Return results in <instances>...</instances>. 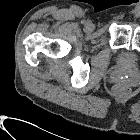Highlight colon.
I'll return each instance as SVG.
<instances>
[{"label": "colon", "instance_id": "colon-1", "mask_svg": "<svg viewBox=\"0 0 140 140\" xmlns=\"http://www.w3.org/2000/svg\"><path fill=\"white\" fill-rule=\"evenodd\" d=\"M130 93V87L125 83H119L113 88V94L118 97H126Z\"/></svg>", "mask_w": 140, "mask_h": 140}]
</instances>
